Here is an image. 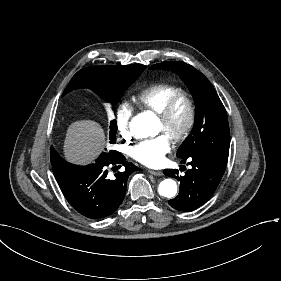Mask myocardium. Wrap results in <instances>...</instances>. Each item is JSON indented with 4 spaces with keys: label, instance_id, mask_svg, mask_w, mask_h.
<instances>
[{
    "label": "myocardium",
    "instance_id": "obj_1",
    "mask_svg": "<svg viewBox=\"0 0 281 281\" xmlns=\"http://www.w3.org/2000/svg\"><path fill=\"white\" fill-rule=\"evenodd\" d=\"M184 103L187 111L186 121L183 127L176 132H172L168 128V120L178 103ZM156 118L163 124L165 135L173 142L184 140L191 132L195 123L196 111L193 100L185 93L170 98L162 109L154 113Z\"/></svg>",
    "mask_w": 281,
    "mask_h": 281
}]
</instances>
